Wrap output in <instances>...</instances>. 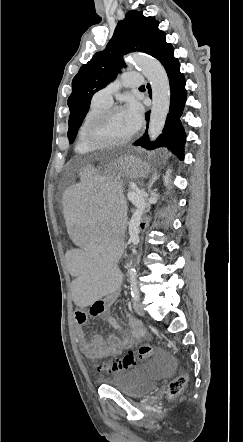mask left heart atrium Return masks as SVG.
Instances as JSON below:
<instances>
[{
  "mask_svg": "<svg viewBox=\"0 0 243 442\" xmlns=\"http://www.w3.org/2000/svg\"><path fill=\"white\" fill-rule=\"evenodd\" d=\"M124 113L133 131H137L143 121V110L140 104L136 101H130L124 109Z\"/></svg>",
  "mask_w": 243,
  "mask_h": 442,
  "instance_id": "1",
  "label": "left heart atrium"
}]
</instances>
